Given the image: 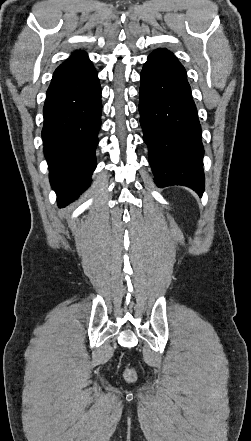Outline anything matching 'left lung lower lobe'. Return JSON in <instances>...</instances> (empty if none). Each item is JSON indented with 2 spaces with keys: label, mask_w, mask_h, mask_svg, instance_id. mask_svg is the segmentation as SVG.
<instances>
[{
  "label": "left lung lower lobe",
  "mask_w": 251,
  "mask_h": 441,
  "mask_svg": "<svg viewBox=\"0 0 251 441\" xmlns=\"http://www.w3.org/2000/svg\"><path fill=\"white\" fill-rule=\"evenodd\" d=\"M140 124L158 187L204 191L201 125L185 68L166 49L147 58L140 74Z\"/></svg>",
  "instance_id": "left-lung-lower-lobe-1"
}]
</instances>
